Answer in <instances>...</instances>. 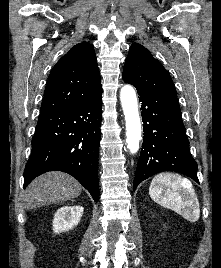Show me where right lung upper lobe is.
Here are the masks:
<instances>
[{
  "instance_id": "right-lung-upper-lobe-1",
  "label": "right lung upper lobe",
  "mask_w": 221,
  "mask_h": 268,
  "mask_svg": "<svg viewBox=\"0 0 221 268\" xmlns=\"http://www.w3.org/2000/svg\"><path fill=\"white\" fill-rule=\"evenodd\" d=\"M102 94L94 46L82 42L72 47L52 69L40 112L60 110Z\"/></svg>"
}]
</instances>
